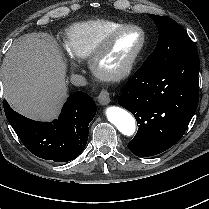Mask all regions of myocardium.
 <instances>
[{"label":"myocardium","instance_id":"obj_1","mask_svg":"<svg viewBox=\"0 0 209 209\" xmlns=\"http://www.w3.org/2000/svg\"><path fill=\"white\" fill-rule=\"evenodd\" d=\"M126 31H138L141 33V44L137 48V50L133 53V55L126 61V63L116 70H105L102 68L101 64L105 59L108 51L110 50L114 39L119 34ZM147 44V34L145 30L137 25L126 24L118 26L112 29L101 41L98 45L94 53L91 55L89 60V66L92 73L100 80L103 81H120L125 79L129 75L132 74L134 69L136 68L139 59L141 58L144 49Z\"/></svg>","mask_w":209,"mask_h":209}]
</instances>
